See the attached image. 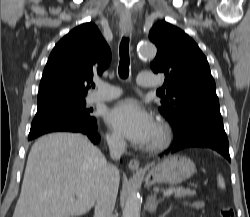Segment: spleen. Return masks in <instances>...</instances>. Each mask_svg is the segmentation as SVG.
Returning a JSON list of instances; mask_svg holds the SVG:
<instances>
[{"label":"spleen","mask_w":250,"mask_h":217,"mask_svg":"<svg viewBox=\"0 0 250 217\" xmlns=\"http://www.w3.org/2000/svg\"><path fill=\"white\" fill-rule=\"evenodd\" d=\"M217 182H218V186L220 188L225 189V187H226L225 186V181H224L223 177L220 174L217 176Z\"/></svg>","instance_id":"1"}]
</instances>
